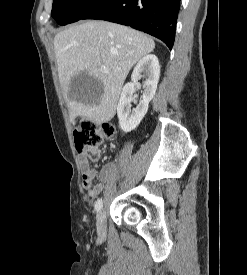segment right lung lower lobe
I'll return each mask as SVG.
<instances>
[{
  "label": "right lung lower lobe",
  "instance_id": "98d812e1",
  "mask_svg": "<svg viewBox=\"0 0 247 275\" xmlns=\"http://www.w3.org/2000/svg\"><path fill=\"white\" fill-rule=\"evenodd\" d=\"M180 0H101L81 19H100L131 26L162 40H175Z\"/></svg>",
  "mask_w": 247,
  "mask_h": 275
}]
</instances>
